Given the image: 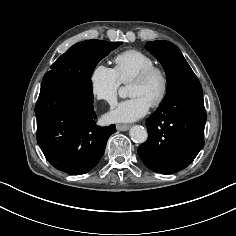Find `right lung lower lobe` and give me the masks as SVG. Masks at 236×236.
Masks as SVG:
<instances>
[{"label":"right lung lower lobe","instance_id":"98d812e1","mask_svg":"<svg viewBox=\"0 0 236 236\" xmlns=\"http://www.w3.org/2000/svg\"><path fill=\"white\" fill-rule=\"evenodd\" d=\"M37 142L49 163L68 174H85L102 157L115 126L95 122L91 83L60 72L46 74L35 107Z\"/></svg>","mask_w":236,"mask_h":236}]
</instances>
